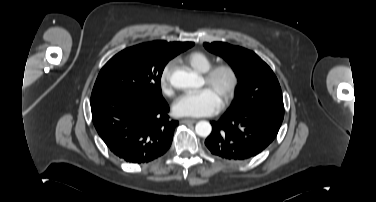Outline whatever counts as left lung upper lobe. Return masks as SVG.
Listing matches in <instances>:
<instances>
[{"instance_id":"1","label":"left lung upper lobe","mask_w":376,"mask_h":202,"mask_svg":"<svg viewBox=\"0 0 376 202\" xmlns=\"http://www.w3.org/2000/svg\"><path fill=\"white\" fill-rule=\"evenodd\" d=\"M204 46L227 60L240 82L238 98L230 112L241 114L257 108L284 116L279 82L260 57L252 51L223 42L204 43Z\"/></svg>"}]
</instances>
